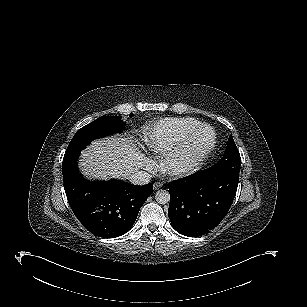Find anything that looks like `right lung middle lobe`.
<instances>
[{
  "label": "right lung middle lobe",
  "mask_w": 307,
  "mask_h": 307,
  "mask_svg": "<svg viewBox=\"0 0 307 307\" xmlns=\"http://www.w3.org/2000/svg\"><path fill=\"white\" fill-rule=\"evenodd\" d=\"M132 116L133 114L130 115V117ZM121 118V116H102L80 128L75 133L65 153L81 151L92 140L122 132L125 124Z\"/></svg>",
  "instance_id": "right-lung-middle-lobe-1"
}]
</instances>
